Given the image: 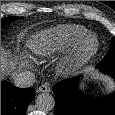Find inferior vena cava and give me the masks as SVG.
Returning <instances> with one entry per match:
<instances>
[{"label": "inferior vena cava", "mask_w": 115, "mask_h": 115, "mask_svg": "<svg viewBox=\"0 0 115 115\" xmlns=\"http://www.w3.org/2000/svg\"><path fill=\"white\" fill-rule=\"evenodd\" d=\"M35 75L30 71H21L14 76V84L17 87L26 88L33 85Z\"/></svg>", "instance_id": "inferior-vena-cava-1"}]
</instances>
